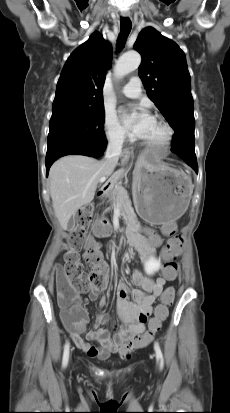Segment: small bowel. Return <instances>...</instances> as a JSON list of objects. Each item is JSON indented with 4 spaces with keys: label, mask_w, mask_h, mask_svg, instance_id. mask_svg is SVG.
<instances>
[{
    "label": "small bowel",
    "mask_w": 230,
    "mask_h": 413,
    "mask_svg": "<svg viewBox=\"0 0 230 413\" xmlns=\"http://www.w3.org/2000/svg\"><path fill=\"white\" fill-rule=\"evenodd\" d=\"M177 229V222H162V231L165 234H170V231H177ZM132 231L134 232L132 245L141 252L144 260H150L153 257L155 246L160 242L159 237L150 232L149 237L146 238L135 230ZM103 234V231L98 232V235ZM108 270L104 285L100 288L90 289L88 293L90 300H96L99 292L105 289L108 281ZM132 281L136 288L131 289L124 282H120L117 286L118 316L123 325L112 337L108 329L103 327L104 324L110 322V317L99 313L96 316L93 329L86 333V340L83 339L82 334L86 330L88 317L78 297H76V305L81 310V316L77 317L73 311L62 312V320L72 341L89 356L106 359L113 353H119L124 357L125 346L145 334V327L152 313L155 299L168 290L174 292L172 287H165L168 281L166 277L151 278L140 271H135L132 274ZM104 304L105 301L102 300L100 305ZM91 341H96L98 346L92 345Z\"/></svg>",
    "instance_id": "obj_1"
}]
</instances>
